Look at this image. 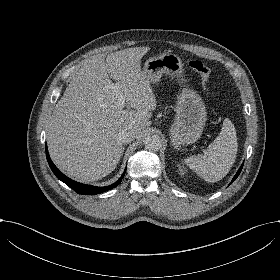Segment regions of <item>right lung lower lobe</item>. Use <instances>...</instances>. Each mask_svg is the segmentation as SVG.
<instances>
[{"mask_svg": "<svg viewBox=\"0 0 280 280\" xmlns=\"http://www.w3.org/2000/svg\"><path fill=\"white\" fill-rule=\"evenodd\" d=\"M46 157H47V161L49 163V166H50L51 170L53 171V173L55 174V176L59 180H61L65 184H67L69 187H71L75 192H77L78 194H83V195H95V194L102 193V192L108 191V190L116 187L121 182V180L124 177L125 172H126V169H125V171L122 174V176L120 177V179L118 181H116L115 183L109 185V186L95 187V186L85 185V184H81L79 182H76V181L68 178L67 176H65L63 173H61L59 171V169L51 161V159L49 157V154H48V151H47V146H46Z\"/></svg>", "mask_w": 280, "mask_h": 280, "instance_id": "1", "label": "right lung lower lobe"}]
</instances>
